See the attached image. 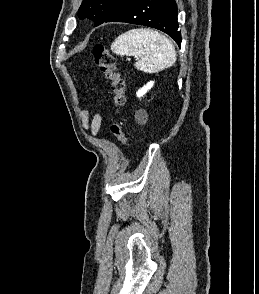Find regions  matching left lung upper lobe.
<instances>
[{"label":"left lung upper lobe","mask_w":259,"mask_h":294,"mask_svg":"<svg viewBox=\"0 0 259 294\" xmlns=\"http://www.w3.org/2000/svg\"><path fill=\"white\" fill-rule=\"evenodd\" d=\"M124 0H83L78 10V16L94 21V26L104 22L109 13Z\"/></svg>","instance_id":"obj_1"}]
</instances>
